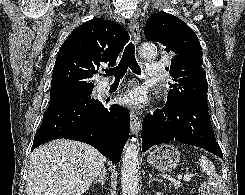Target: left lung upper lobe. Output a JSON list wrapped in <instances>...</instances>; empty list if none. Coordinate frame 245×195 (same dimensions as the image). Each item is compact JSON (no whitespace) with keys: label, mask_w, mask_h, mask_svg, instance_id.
<instances>
[{"label":"left lung upper lobe","mask_w":245,"mask_h":195,"mask_svg":"<svg viewBox=\"0 0 245 195\" xmlns=\"http://www.w3.org/2000/svg\"><path fill=\"white\" fill-rule=\"evenodd\" d=\"M145 38L161 43L166 52L174 53L170 75L174 84L168 92L171 104L196 101L207 105L206 71L202 68V48L194 31L182 20L160 11L149 17Z\"/></svg>","instance_id":"left-lung-upper-lobe-1"}]
</instances>
